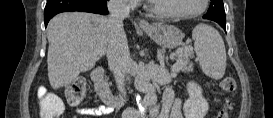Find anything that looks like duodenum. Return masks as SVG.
Returning <instances> with one entry per match:
<instances>
[{
    "mask_svg": "<svg viewBox=\"0 0 273 118\" xmlns=\"http://www.w3.org/2000/svg\"><path fill=\"white\" fill-rule=\"evenodd\" d=\"M91 79L96 93L108 107L113 108L122 104L121 96L113 92L106 82L102 67H97L92 71Z\"/></svg>",
    "mask_w": 273,
    "mask_h": 118,
    "instance_id": "obj_1",
    "label": "duodenum"
}]
</instances>
